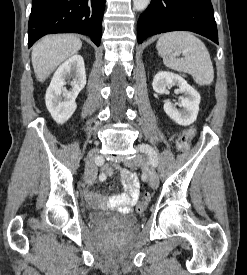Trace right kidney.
I'll return each mask as SVG.
<instances>
[{
  "mask_svg": "<svg viewBox=\"0 0 247 275\" xmlns=\"http://www.w3.org/2000/svg\"><path fill=\"white\" fill-rule=\"evenodd\" d=\"M73 76L71 90H67L65 79ZM86 85V72L82 56L73 55L58 67L46 91L45 102L52 118L59 124L65 123L75 112L79 92Z\"/></svg>",
  "mask_w": 247,
  "mask_h": 275,
  "instance_id": "right-kidney-1",
  "label": "right kidney"
}]
</instances>
